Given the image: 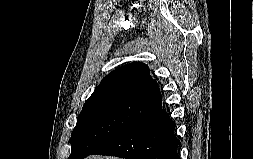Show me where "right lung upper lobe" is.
I'll return each mask as SVG.
<instances>
[{"label":"right lung upper lobe","instance_id":"cb5924a9","mask_svg":"<svg viewBox=\"0 0 253 159\" xmlns=\"http://www.w3.org/2000/svg\"><path fill=\"white\" fill-rule=\"evenodd\" d=\"M110 96L136 98L158 107L162 102L158 84L151 78L148 66L142 62H134L111 72L90 98Z\"/></svg>","mask_w":253,"mask_h":159}]
</instances>
